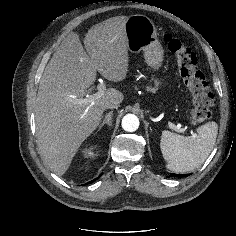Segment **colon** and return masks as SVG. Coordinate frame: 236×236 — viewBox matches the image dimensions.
I'll use <instances>...</instances> for the list:
<instances>
[{"mask_svg":"<svg viewBox=\"0 0 236 236\" xmlns=\"http://www.w3.org/2000/svg\"><path fill=\"white\" fill-rule=\"evenodd\" d=\"M164 41L174 54L179 75L192 95V121L202 123L210 118L214 97L210 92L204 74L199 70L195 53L172 34H165Z\"/></svg>","mask_w":236,"mask_h":236,"instance_id":"obj_1","label":"colon"}]
</instances>
